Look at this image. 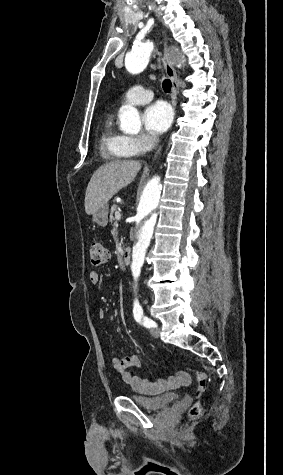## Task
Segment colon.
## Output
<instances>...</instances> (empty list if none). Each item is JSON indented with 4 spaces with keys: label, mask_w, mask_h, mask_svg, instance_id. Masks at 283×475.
Listing matches in <instances>:
<instances>
[{
    "label": "colon",
    "mask_w": 283,
    "mask_h": 475,
    "mask_svg": "<svg viewBox=\"0 0 283 475\" xmlns=\"http://www.w3.org/2000/svg\"><path fill=\"white\" fill-rule=\"evenodd\" d=\"M109 257L108 251L102 246L101 243L95 242L90 247V262L93 266H100L104 264ZM183 377H190L193 375L196 384V400L189 410V415L193 418H197L202 412V396L207 389L208 376L205 372L195 369L193 367H187L186 370L181 373Z\"/></svg>",
    "instance_id": "1"
}]
</instances>
